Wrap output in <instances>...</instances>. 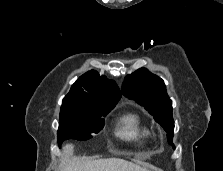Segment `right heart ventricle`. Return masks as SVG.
Returning a JSON list of instances; mask_svg holds the SVG:
<instances>
[{"mask_svg": "<svg viewBox=\"0 0 223 171\" xmlns=\"http://www.w3.org/2000/svg\"><path fill=\"white\" fill-rule=\"evenodd\" d=\"M116 134L125 141L142 144L148 140L151 131L138 114L127 113L118 119Z\"/></svg>", "mask_w": 223, "mask_h": 171, "instance_id": "obj_1", "label": "right heart ventricle"}]
</instances>
